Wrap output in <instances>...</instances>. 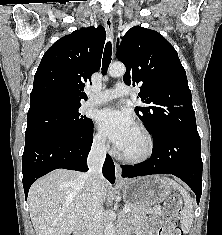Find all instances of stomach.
I'll return each instance as SVG.
<instances>
[{"label": "stomach", "mask_w": 222, "mask_h": 235, "mask_svg": "<svg viewBox=\"0 0 222 235\" xmlns=\"http://www.w3.org/2000/svg\"><path fill=\"white\" fill-rule=\"evenodd\" d=\"M173 186L160 176L140 177L121 184L123 198L129 207L146 210L164 201Z\"/></svg>", "instance_id": "stomach-1"}]
</instances>
